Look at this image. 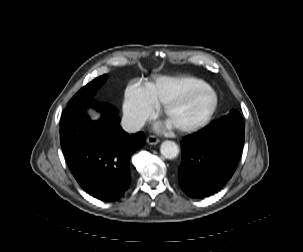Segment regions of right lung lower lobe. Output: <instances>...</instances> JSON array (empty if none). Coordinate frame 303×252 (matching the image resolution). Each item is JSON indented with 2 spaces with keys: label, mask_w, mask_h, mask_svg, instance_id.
Listing matches in <instances>:
<instances>
[{
  "label": "right lung lower lobe",
  "mask_w": 303,
  "mask_h": 252,
  "mask_svg": "<svg viewBox=\"0 0 303 252\" xmlns=\"http://www.w3.org/2000/svg\"><path fill=\"white\" fill-rule=\"evenodd\" d=\"M96 107L99 121L86 108ZM117 109L92 100L67 107L61 117L60 141L68 166L80 186L93 197L115 201L128 189L130 157L145 144L142 132L129 135L119 125Z\"/></svg>",
  "instance_id": "right-lung-lower-lobe-1"
}]
</instances>
